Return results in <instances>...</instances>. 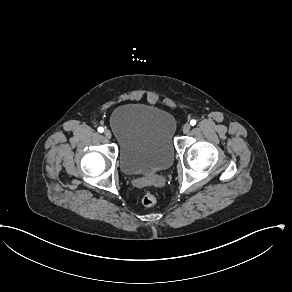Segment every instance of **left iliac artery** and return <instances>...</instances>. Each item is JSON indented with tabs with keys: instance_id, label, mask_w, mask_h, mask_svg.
Masks as SVG:
<instances>
[{
	"instance_id": "obj_1",
	"label": "left iliac artery",
	"mask_w": 292,
	"mask_h": 292,
	"mask_svg": "<svg viewBox=\"0 0 292 292\" xmlns=\"http://www.w3.org/2000/svg\"><path fill=\"white\" fill-rule=\"evenodd\" d=\"M190 124H191L192 126L196 125V120H195V119L191 120V121H190Z\"/></svg>"
}]
</instances>
